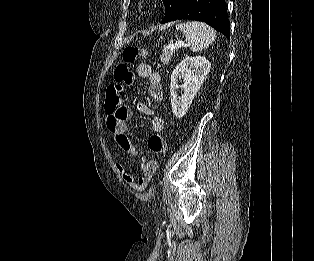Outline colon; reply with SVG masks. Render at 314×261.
<instances>
[{
    "label": "colon",
    "instance_id": "1",
    "mask_svg": "<svg viewBox=\"0 0 314 261\" xmlns=\"http://www.w3.org/2000/svg\"><path fill=\"white\" fill-rule=\"evenodd\" d=\"M146 52L136 46H127L123 51V61L119 63L114 71V81L107 87L106 109L114 110L124 105L126 101L125 86L132 81L133 75L130 65L135 63L139 57L145 56ZM149 149L157 155H164L167 146L164 138L159 134H153L148 141Z\"/></svg>",
    "mask_w": 314,
    "mask_h": 261
}]
</instances>
